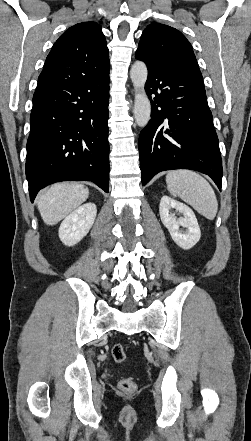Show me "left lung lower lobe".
<instances>
[{"label": "left lung lower lobe", "instance_id": "left-lung-lower-lobe-1", "mask_svg": "<svg viewBox=\"0 0 251 441\" xmlns=\"http://www.w3.org/2000/svg\"><path fill=\"white\" fill-rule=\"evenodd\" d=\"M147 69L151 120L139 137L142 184L161 171L191 169L209 175L221 190L219 141L203 79L175 69Z\"/></svg>", "mask_w": 251, "mask_h": 441}]
</instances>
